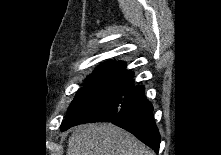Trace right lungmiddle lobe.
I'll return each instance as SVG.
<instances>
[{"instance_id": "right-lung-middle-lobe-1", "label": "right lung middle lobe", "mask_w": 221, "mask_h": 155, "mask_svg": "<svg viewBox=\"0 0 221 155\" xmlns=\"http://www.w3.org/2000/svg\"><path fill=\"white\" fill-rule=\"evenodd\" d=\"M120 63V61H108L96 68L93 74L86 78L85 85L76 93L70 105L69 112L61 124L60 129L62 131L84 120L101 95L114 69Z\"/></svg>"}]
</instances>
